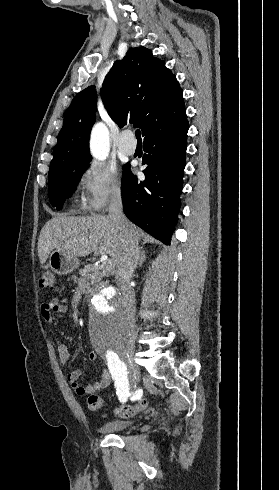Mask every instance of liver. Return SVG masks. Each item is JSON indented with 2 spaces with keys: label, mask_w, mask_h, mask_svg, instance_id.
<instances>
[{
  "label": "liver",
  "mask_w": 279,
  "mask_h": 490,
  "mask_svg": "<svg viewBox=\"0 0 279 490\" xmlns=\"http://www.w3.org/2000/svg\"><path fill=\"white\" fill-rule=\"evenodd\" d=\"M136 238H142L143 232L129 222V228ZM124 230L114 226L108 216H86L74 218L59 214L43 226L38 240L40 264H45L52 250H59L68 256H94L109 254L113 264L122 260L126 236Z\"/></svg>",
  "instance_id": "obj_1"
}]
</instances>
